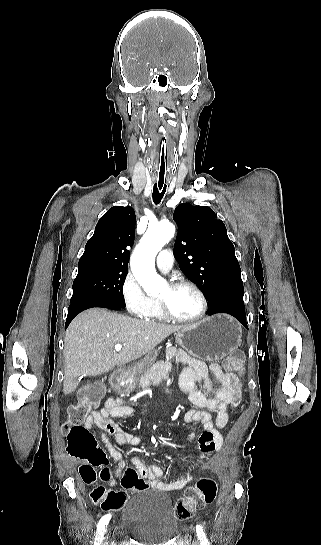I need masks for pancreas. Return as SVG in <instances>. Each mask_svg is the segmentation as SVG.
<instances>
[{
  "label": "pancreas",
  "mask_w": 321,
  "mask_h": 545,
  "mask_svg": "<svg viewBox=\"0 0 321 545\" xmlns=\"http://www.w3.org/2000/svg\"><path fill=\"white\" fill-rule=\"evenodd\" d=\"M172 369L171 363L168 361H158L151 365L150 369H126L123 375H129V377H135L136 383H138L140 389H149L150 383L153 385H159L162 381H166L169 377V373Z\"/></svg>",
  "instance_id": "obj_1"
}]
</instances>
